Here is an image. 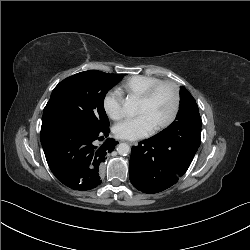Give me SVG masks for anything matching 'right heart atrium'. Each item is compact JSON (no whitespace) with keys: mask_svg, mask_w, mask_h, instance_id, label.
<instances>
[{"mask_svg":"<svg viewBox=\"0 0 250 250\" xmlns=\"http://www.w3.org/2000/svg\"><path fill=\"white\" fill-rule=\"evenodd\" d=\"M105 114L112 120H120L124 116L123 97L120 91L111 89L106 92L102 100Z\"/></svg>","mask_w":250,"mask_h":250,"instance_id":"right-heart-atrium-1","label":"right heart atrium"}]
</instances>
